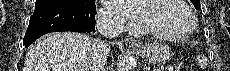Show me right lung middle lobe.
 <instances>
[{
	"label": "right lung middle lobe",
	"mask_w": 230,
	"mask_h": 71,
	"mask_svg": "<svg viewBox=\"0 0 230 71\" xmlns=\"http://www.w3.org/2000/svg\"><path fill=\"white\" fill-rule=\"evenodd\" d=\"M55 3L73 4L83 8L95 9V0H36L35 6Z\"/></svg>",
	"instance_id": "right-lung-middle-lobe-1"
}]
</instances>
